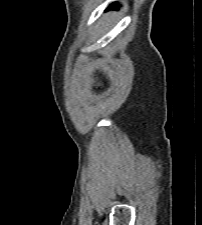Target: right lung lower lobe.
Listing matches in <instances>:
<instances>
[{"label":"right lung lower lobe","mask_w":202,"mask_h":225,"mask_svg":"<svg viewBox=\"0 0 202 225\" xmlns=\"http://www.w3.org/2000/svg\"><path fill=\"white\" fill-rule=\"evenodd\" d=\"M115 6H116V4H115V3H113V4H111V5H110V7H115Z\"/></svg>","instance_id":"right-lung-lower-lobe-1"}]
</instances>
